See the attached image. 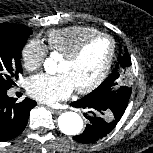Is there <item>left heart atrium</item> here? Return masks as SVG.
I'll return each instance as SVG.
<instances>
[{
  "mask_svg": "<svg viewBox=\"0 0 153 153\" xmlns=\"http://www.w3.org/2000/svg\"><path fill=\"white\" fill-rule=\"evenodd\" d=\"M73 89L71 81L63 73L38 74L30 78L27 85L31 97L48 105H55L60 100L67 99Z\"/></svg>",
  "mask_w": 153,
  "mask_h": 153,
  "instance_id": "obj_1",
  "label": "left heart atrium"
}]
</instances>
